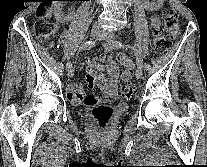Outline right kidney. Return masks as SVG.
<instances>
[{
  "instance_id": "1",
  "label": "right kidney",
  "mask_w": 207,
  "mask_h": 167,
  "mask_svg": "<svg viewBox=\"0 0 207 167\" xmlns=\"http://www.w3.org/2000/svg\"><path fill=\"white\" fill-rule=\"evenodd\" d=\"M63 3V1L54 2V15L59 21H68L71 19V15L64 16L62 13Z\"/></svg>"
}]
</instances>
